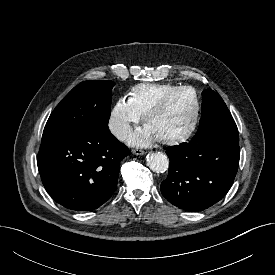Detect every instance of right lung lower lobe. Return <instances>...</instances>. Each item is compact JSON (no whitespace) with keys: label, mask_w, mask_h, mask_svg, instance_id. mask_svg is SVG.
Segmentation results:
<instances>
[{"label":"right lung lower lobe","mask_w":275,"mask_h":275,"mask_svg":"<svg viewBox=\"0 0 275 275\" xmlns=\"http://www.w3.org/2000/svg\"><path fill=\"white\" fill-rule=\"evenodd\" d=\"M128 153L107 125L81 133L43 135L37 165L54 201L73 211H91L116 191L119 164Z\"/></svg>","instance_id":"right-lung-lower-lobe-1"}]
</instances>
